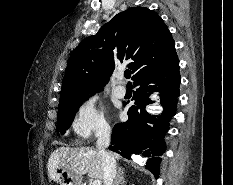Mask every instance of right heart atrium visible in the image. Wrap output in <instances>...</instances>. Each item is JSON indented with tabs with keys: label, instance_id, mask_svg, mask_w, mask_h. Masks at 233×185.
I'll use <instances>...</instances> for the list:
<instances>
[{
	"label": "right heart atrium",
	"instance_id": "right-heart-atrium-1",
	"mask_svg": "<svg viewBox=\"0 0 233 185\" xmlns=\"http://www.w3.org/2000/svg\"><path fill=\"white\" fill-rule=\"evenodd\" d=\"M72 132L82 141L108 132L109 125L104 107L96 97H87L78 105L73 121Z\"/></svg>",
	"mask_w": 233,
	"mask_h": 185
}]
</instances>
